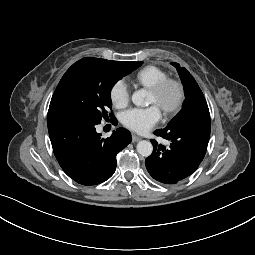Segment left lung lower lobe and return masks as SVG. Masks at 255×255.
<instances>
[{"instance_id":"left-lung-lower-lobe-1","label":"left lung lower lobe","mask_w":255,"mask_h":255,"mask_svg":"<svg viewBox=\"0 0 255 255\" xmlns=\"http://www.w3.org/2000/svg\"><path fill=\"white\" fill-rule=\"evenodd\" d=\"M210 127L205 98L187 103L164 129L154 132L171 144L166 148L151 140L153 152L145 160L149 174L164 184H176L189 177L205 156Z\"/></svg>"}]
</instances>
